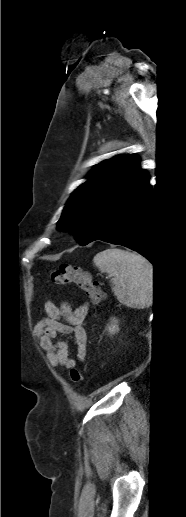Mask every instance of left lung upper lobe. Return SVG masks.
<instances>
[{
  "label": "left lung upper lobe",
  "instance_id": "1",
  "mask_svg": "<svg viewBox=\"0 0 186 517\" xmlns=\"http://www.w3.org/2000/svg\"><path fill=\"white\" fill-rule=\"evenodd\" d=\"M135 155H119L99 163L68 200L58 229L70 230L87 245L109 209L145 174Z\"/></svg>",
  "mask_w": 186,
  "mask_h": 517
}]
</instances>
